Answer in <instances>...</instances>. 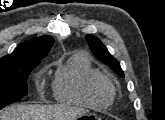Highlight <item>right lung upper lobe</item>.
Listing matches in <instances>:
<instances>
[{"instance_id": "cb5924a9", "label": "right lung upper lobe", "mask_w": 165, "mask_h": 120, "mask_svg": "<svg viewBox=\"0 0 165 120\" xmlns=\"http://www.w3.org/2000/svg\"><path fill=\"white\" fill-rule=\"evenodd\" d=\"M54 39L43 35L18 45L13 53L0 59V64L20 63L31 60H41L50 51Z\"/></svg>"}]
</instances>
